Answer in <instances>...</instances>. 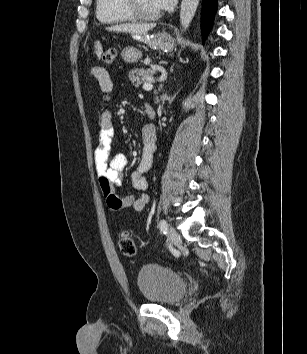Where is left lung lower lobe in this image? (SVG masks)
Listing matches in <instances>:
<instances>
[{
  "label": "left lung lower lobe",
  "instance_id": "left-lung-lower-lobe-1",
  "mask_svg": "<svg viewBox=\"0 0 307 354\" xmlns=\"http://www.w3.org/2000/svg\"><path fill=\"white\" fill-rule=\"evenodd\" d=\"M216 10H217V0H203L202 17H201V29H202L203 40H205V37L209 33Z\"/></svg>",
  "mask_w": 307,
  "mask_h": 354
}]
</instances>
